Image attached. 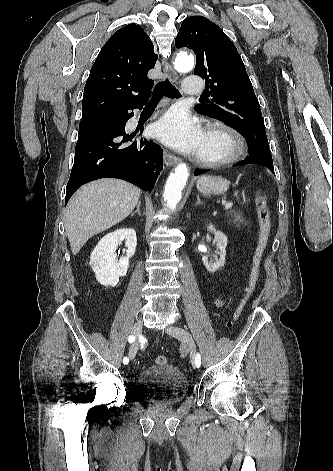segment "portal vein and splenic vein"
Instances as JSON below:
<instances>
[{"instance_id":"portal-vein-and-splenic-vein-1","label":"portal vein and splenic vein","mask_w":333,"mask_h":471,"mask_svg":"<svg viewBox=\"0 0 333 471\" xmlns=\"http://www.w3.org/2000/svg\"><path fill=\"white\" fill-rule=\"evenodd\" d=\"M232 206H233V203H232V202H227V203L225 204V210H228V209L232 208Z\"/></svg>"}]
</instances>
